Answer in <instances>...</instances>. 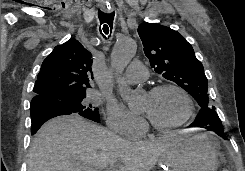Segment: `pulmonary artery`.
Masks as SVG:
<instances>
[{"mask_svg": "<svg viewBox=\"0 0 245 171\" xmlns=\"http://www.w3.org/2000/svg\"><path fill=\"white\" fill-rule=\"evenodd\" d=\"M148 78V70L140 61H133L123 76L125 83H137Z\"/></svg>", "mask_w": 245, "mask_h": 171, "instance_id": "e3ab8cb5", "label": "pulmonary artery"}]
</instances>
